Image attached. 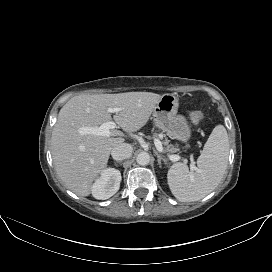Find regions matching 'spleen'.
<instances>
[{
  "mask_svg": "<svg viewBox=\"0 0 272 272\" xmlns=\"http://www.w3.org/2000/svg\"><path fill=\"white\" fill-rule=\"evenodd\" d=\"M229 140L225 127L217 125L197 159L195 171L184 163L173 164L167 174L172 194L182 202L198 201L220 183L228 164Z\"/></svg>",
  "mask_w": 272,
  "mask_h": 272,
  "instance_id": "1",
  "label": "spleen"
}]
</instances>
